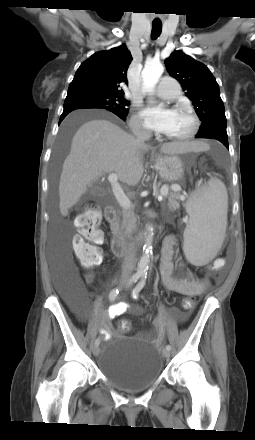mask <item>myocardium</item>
Here are the masks:
<instances>
[{"label":"myocardium","instance_id":"myocardium-1","mask_svg":"<svg viewBox=\"0 0 255 440\" xmlns=\"http://www.w3.org/2000/svg\"><path fill=\"white\" fill-rule=\"evenodd\" d=\"M176 110H181V111H185L191 118L192 120V127L190 128V130L179 137H173V136H169L166 135V138L169 140H173L176 142H183V141H187L192 139L198 132L199 128H200V120L197 116V114L193 111L192 108H190L187 105H183V104H177L176 105Z\"/></svg>","mask_w":255,"mask_h":440}]
</instances>
